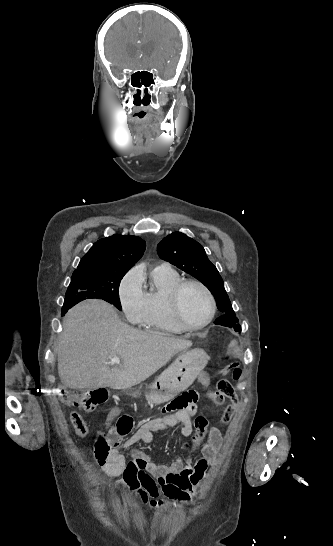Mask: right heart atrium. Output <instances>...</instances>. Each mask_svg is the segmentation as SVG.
Masks as SVG:
<instances>
[{
    "label": "right heart atrium",
    "instance_id": "1",
    "mask_svg": "<svg viewBox=\"0 0 333 546\" xmlns=\"http://www.w3.org/2000/svg\"><path fill=\"white\" fill-rule=\"evenodd\" d=\"M118 298L125 318L133 324L141 323L145 312V301L142 278L136 269H131L121 280Z\"/></svg>",
    "mask_w": 333,
    "mask_h": 546
}]
</instances>
